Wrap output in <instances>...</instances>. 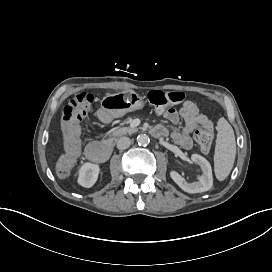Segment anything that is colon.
Masks as SVG:
<instances>
[{
    "instance_id": "obj_1",
    "label": "colon",
    "mask_w": 272,
    "mask_h": 272,
    "mask_svg": "<svg viewBox=\"0 0 272 272\" xmlns=\"http://www.w3.org/2000/svg\"><path fill=\"white\" fill-rule=\"evenodd\" d=\"M149 102L155 106L156 109L161 110L165 107L170 108L173 104L179 103L183 99L181 92H163L159 90H152L148 95ZM93 102V95L90 92H81L75 95L63 107L62 110V125L63 127V144L62 155L58 163L56 172L60 178L67 176L73 169L74 164L78 161L81 151L80 141L81 137L77 129L79 122L86 116L88 106ZM213 116L206 112L203 114L200 123L203 126L196 135V140L203 150L210 148L214 133L211 127Z\"/></svg>"
}]
</instances>
